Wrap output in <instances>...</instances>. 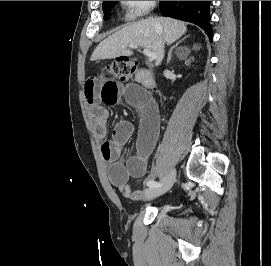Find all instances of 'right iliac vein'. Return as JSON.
<instances>
[{
	"label": "right iliac vein",
	"instance_id": "1",
	"mask_svg": "<svg viewBox=\"0 0 271 266\" xmlns=\"http://www.w3.org/2000/svg\"><path fill=\"white\" fill-rule=\"evenodd\" d=\"M175 178L176 171L172 170L160 186L145 189V195L148 198H155L166 193L173 186Z\"/></svg>",
	"mask_w": 271,
	"mask_h": 266
}]
</instances>
